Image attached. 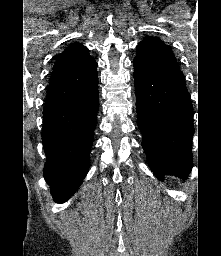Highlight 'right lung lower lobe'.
I'll list each match as a JSON object with an SVG mask.
<instances>
[{
  "instance_id": "right-lung-lower-lobe-1",
  "label": "right lung lower lobe",
  "mask_w": 221,
  "mask_h": 256,
  "mask_svg": "<svg viewBox=\"0 0 221 256\" xmlns=\"http://www.w3.org/2000/svg\"><path fill=\"white\" fill-rule=\"evenodd\" d=\"M98 98L97 87L74 100L44 107V178L50 185L55 202L67 201L88 172Z\"/></svg>"
}]
</instances>
